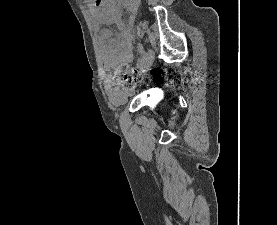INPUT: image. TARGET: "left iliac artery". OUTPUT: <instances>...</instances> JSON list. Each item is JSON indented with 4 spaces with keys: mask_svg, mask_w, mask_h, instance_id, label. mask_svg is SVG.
I'll return each mask as SVG.
<instances>
[{
    "mask_svg": "<svg viewBox=\"0 0 277 225\" xmlns=\"http://www.w3.org/2000/svg\"><path fill=\"white\" fill-rule=\"evenodd\" d=\"M137 48H138V52L140 54L137 65L139 68L142 69V65H143V61H144V57H145V50L141 43H138Z\"/></svg>",
    "mask_w": 277,
    "mask_h": 225,
    "instance_id": "44dca946",
    "label": "left iliac artery"
}]
</instances>
